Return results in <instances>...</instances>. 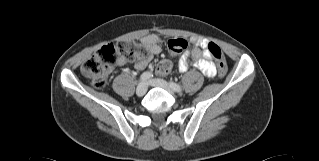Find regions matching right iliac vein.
Returning <instances> with one entry per match:
<instances>
[{"label": "right iliac vein", "mask_w": 319, "mask_h": 161, "mask_svg": "<svg viewBox=\"0 0 319 161\" xmlns=\"http://www.w3.org/2000/svg\"><path fill=\"white\" fill-rule=\"evenodd\" d=\"M147 91V84L145 82L139 83L136 89V94L138 96H143Z\"/></svg>", "instance_id": "obj_1"}]
</instances>
